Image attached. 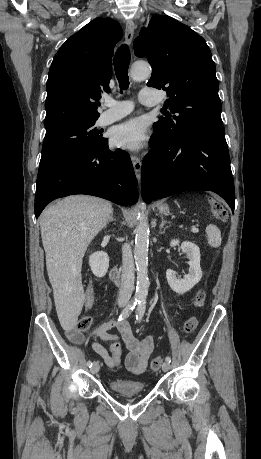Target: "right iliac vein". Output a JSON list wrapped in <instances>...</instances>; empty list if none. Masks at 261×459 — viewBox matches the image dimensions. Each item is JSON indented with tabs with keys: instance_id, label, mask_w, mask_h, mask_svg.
<instances>
[{
	"instance_id": "63e3f726",
	"label": "right iliac vein",
	"mask_w": 261,
	"mask_h": 459,
	"mask_svg": "<svg viewBox=\"0 0 261 459\" xmlns=\"http://www.w3.org/2000/svg\"><path fill=\"white\" fill-rule=\"evenodd\" d=\"M100 369V366H99V363L98 362H94L92 367L90 368V372L92 374H96Z\"/></svg>"
}]
</instances>
